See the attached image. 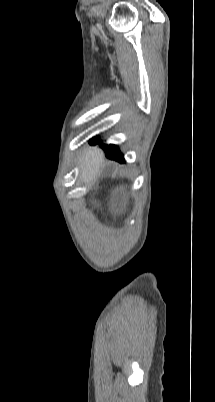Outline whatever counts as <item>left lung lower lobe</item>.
Segmentation results:
<instances>
[{
  "label": "left lung lower lobe",
  "mask_w": 215,
  "mask_h": 402,
  "mask_svg": "<svg viewBox=\"0 0 215 402\" xmlns=\"http://www.w3.org/2000/svg\"><path fill=\"white\" fill-rule=\"evenodd\" d=\"M89 143H91V144L92 143L101 144V141L98 138H93V139H91L89 141ZM101 147L103 148L107 158L113 159V160H116V161H119V162H124L125 161L124 157H123V154L119 151V148L116 147L115 145H113V144H109V145L102 144Z\"/></svg>",
  "instance_id": "0a47b994"
}]
</instances>
